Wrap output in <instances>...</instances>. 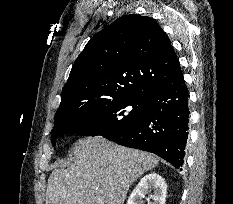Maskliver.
<instances>
[{
	"label": "liver",
	"instance_id": "1",
	"mask_svg": "<svg viewBox=\"0 0 233 204\" xmlns=\"http://www.w3.org/2000/svg\"><path fill=\"white\" fill-rule=\"evenodd\" d=\"M71 150L74 163L49 176L45 204H124L130 186L159 162L101 137L79 139Z\"/></svg>",
	"mask_w": 233,
	"mask_h": 204
}]
</instances>
